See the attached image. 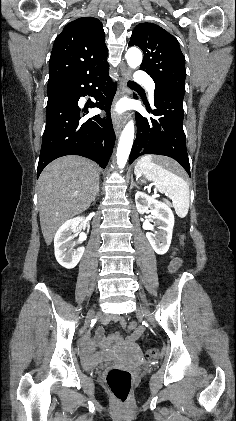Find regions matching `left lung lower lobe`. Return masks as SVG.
<instances>
[{
  "label": "left lung lower lobe",
  "instance_id": "0a47b994",
  "mask_svg": "<svg viewBox=\"0 0 236 421\" xmlns=\"http://www.w3.org/2000/svg\"><path fill=\"white\" fill-rule=\"evenodd\" d=\"M184 94L163 88L154 94V110L144 101L148 112L155 117L137 114V135L133 143L129 164L144 154L165 155L179 162L190 176V164L183 130Z\"/></svg>",
  "mask_w": 236,
  "mask_h": 421
}]
</instances>
